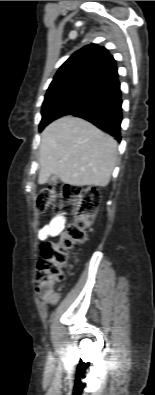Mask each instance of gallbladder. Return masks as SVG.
<instances>
[{
	"label": "gallbladder",
	"instance_id": "obj_1",
	"mask_svg": "<svg viewBox=\"0 0 155 395\" xmlns=\"http://www.w3.org/2000/svg\"><path fill=\"white\" fill-rule=\"evenodd\" d=\"M58 181V177L55 175H52L49 179L48 182L49 183H56Z\"/></svg>",
	"mask_w": 155,
	"mask_h": 395
}]
</instances>
